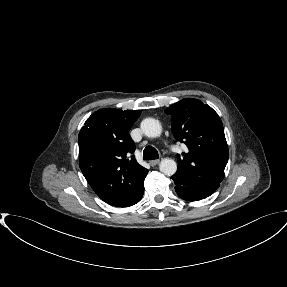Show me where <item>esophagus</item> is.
Here are the masks:
<instances>
[{"label": "esophagus", "instance_id": "esophagus-1", "mask_svg": "<svg viewBox=\"0 0 287 287\" xmlns=\"http://www.w3.org/2000/svg\"><path fill=\"white\" fill-rule=\"evenodd\" d=\"M159 162H160V160H159V159H156V160H151V161H149V164L153 167V166L158 165Z\"/></svg>", "mask_w": 287, "mask_h": 287}]
</instances>
